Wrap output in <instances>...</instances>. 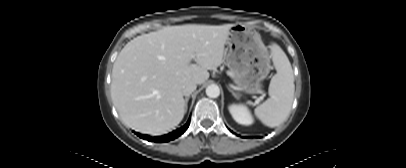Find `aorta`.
Returning a JSON list of instances; mask_svg holds the SVG:
<instances>
[{"instance_id":"762f6f07","label":"aorta","mask_w":406,"mask_h":168,"mask_svg":"<svg viewBox=\"0 0 406 168\" xmlns=\"http://www.w3.org/2000/svg\"><path fill=\"white\" fill-rule=\"evenodd\" d=\"M206 95L210 98H217L220 95V89L217 85L212 84L206 88Z\"/></svg>"}]
</instances>
